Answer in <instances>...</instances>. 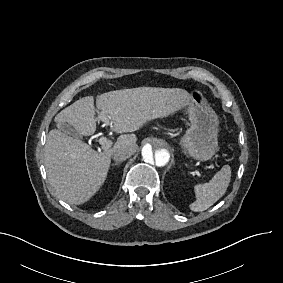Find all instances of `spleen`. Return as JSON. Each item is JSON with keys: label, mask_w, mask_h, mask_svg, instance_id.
<instances>
[{"label": "spleen", "mask_w": 283, "mask_h": 283, "mask_svg": "<svg viewBox=\"0 0 283 283\" xmlns=\"http://www.w3.org/2000/svg\"><path fill=\"white\" fill-rule=\"evenodd\" d=\"M231 179L230 166L225 165L214 177L204 184H195L196 200L189 205L190 210L201 212L216 203L226 192Z\"/></svg>", "instance_id": "1"}]
</instances>
